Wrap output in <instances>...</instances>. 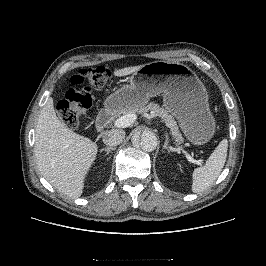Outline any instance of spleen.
<instances>
[{"label":"spleen","mask_w":266,"mask_h":266,"mask_svg":"<svg viewBox=\"0 0 266 266\" xmlns=\"http://www.w3.org/2000/svg\"><path fill=\"white\" fill-rule=\"evenodd\" d=\"M228 141L223 139L209 156L206 164L196 168L192 174V191L200 193L208 189L220 175L226 162Z\"/></svg>","instance_id":"spleen-1"}]
</instances>
